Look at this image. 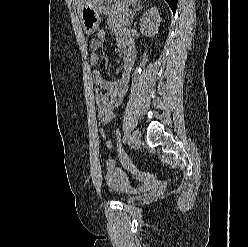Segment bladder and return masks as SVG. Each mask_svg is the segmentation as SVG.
Masks as SVG:
<instances>
[{
    "label": "bladder",
    "mask_w": 248,
    "mask_h": 247,
    "mask_svg": "<svg viewBox=\"0 0 248 247\" xmlns=\"http://www.w3.org/2000/svg\"><path fill=\"white\" fill-rule=\"evenodd\" d=\"M105 179L110 191L123 196L126 202L131 201L134 196L141 192V190L132 185L128 175L120 169L109 171Z\"/></svg>",
    "instance_id": "1"
}]
</instances>
